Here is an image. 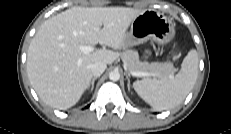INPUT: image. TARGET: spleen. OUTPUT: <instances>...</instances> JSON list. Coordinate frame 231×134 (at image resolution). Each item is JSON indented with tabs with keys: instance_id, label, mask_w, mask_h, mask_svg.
<instances>
[{
	"instance_id": "obj_1",
	"label": "spleen",
	"mask_w": 231,
	"mask_h": 134,
	"mask_svg": "<svg viewBox=\"0 0 231 134\" xmlns=\"http://www.w3.org/2000/svg\"><path fill=\"white\" fill-rule=\"evenodd\" d=\"M198 53L195 49L188 52L180 71L162 79L144 78L133 83L137 94L157 111L167 110L180 105L192 90L198 77Z\"/></svg>"
}]
</instances>
